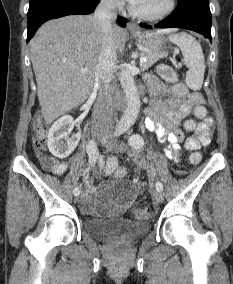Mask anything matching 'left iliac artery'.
Segmentation results:
<instances>
[{"instance_id":"obj_1","label":"left iliac artery","mask_w":233,"mask_h":284,"mask_svg":"<svg viewBox=\"0 0 233 284\" xmlns=\"http://www.w3.org/2000/svg\"><path fill=\"white\" fill-rule=\"evenodd\" d=\"M122 133H124L123 130H117L114 135L120 136ZM129 145L134 149H141L144 145V140L140 135H132L128 139ZM156 189L159 191L163 190V185L160 181H156Z\"/></svg>"}]
</instances>
